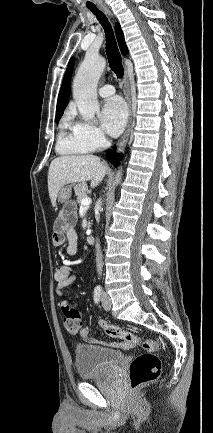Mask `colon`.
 I'll use <instances>...</instances> for the list:
<instances>
[{
    "instance_id": "1",
    "label": "colon",
    "mask_w": 213,
    "mask_h": 433,
    "mask_svg": "<svg viewBox=\"0 0 213 433\" xmlns=\"http://www.w3.org/2000/svg\"><path fill=\"white\" fill-rule=\"evenodd\" d=\"M82 325V317L78 311L72 310L64 314L63 326L69 335H77L82 329ZM98 325L109 337L121 339L129 345H138L145 351V353L138 355L130 363L129 382L132 389H137L159 377L161 360L154 353L160 348L158 341L138 337L131 332L123 330L118 325L109 324L105 321H99Z\"/></svg>"
}]
</instances>
